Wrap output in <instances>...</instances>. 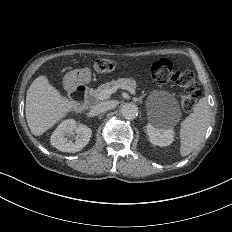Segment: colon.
Segmentation results:
<instances>
[{"label":"colon","mask_w":232,"mask_h":232,"mask_svg":"<svg viewBox=\"0 0 232 232\" xmlns=\"http://www.w3.org/2000/svg\"><path fill=\"white\" fill-rule=\"evenodd\" d=\"M117 68L118 63L114 59L105 61L98 58L91 65V70H95V73H114ZM151 75L155 78V82H177V86H185L180 97V102H183L181 111H194L196 102H199V97H194V94L199 87L193 86L197 82V77L192 72L175 68L169 59L156 58L151 63Z\"/></svg>","instance_id":"colon-1"}]
</instances>
